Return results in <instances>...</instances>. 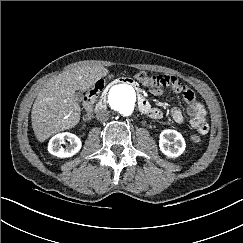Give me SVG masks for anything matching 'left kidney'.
Here are the masks:
<instances>
[{
    "label": "left kidney",
    "instance_id": "left-kidney-1",
    "mask_svg": "<svg viewBox=\"0 0 243 243\" xmlns=\"http://www.w3.org/2000/svg\"><path fill=\"white\" fill-rule=\"evenodd\" d=\"M159 147L168 157L180 156L186 147L183 136L176 130L166 129L160 133Z\"/></svg>",
    "mask_w": 243,
    "mask_h": 243
}]
</instances>
